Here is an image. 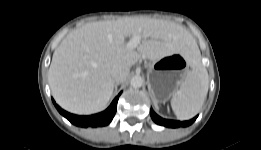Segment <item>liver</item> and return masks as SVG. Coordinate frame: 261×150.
<instances>
[{
	"label": "liver",
	"mask_w": 261,
	"mask_h": 150,
	"mask_svg": "<svg viewBox=\"0 0 261 150\" xmlns=\"http://www.w3.org/2000/svg\"><path fill=\"white\" fill-rule=\"evenodd\" d=\"M136 35L145 39L136 49L128 48L125 39ZM194 44L192 35L171 21L125 17L87 23L54 51L48 72L53 97L71 113H97L113 94L114 66L130 68L141 57L156 61L173 53L189 59Z\"/></svg>",
	"instance_id": "liver-1"
}]
</instances>
